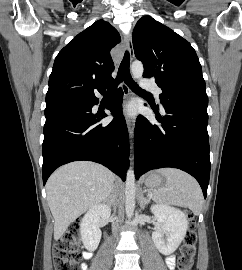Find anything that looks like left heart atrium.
Instances as JSON below:
<instances>
[{
  "mask_svg": "<svg viewBox=\"0 0 242 270\" xmlns=\"http://www.w3.org/2000/svg\"><path fill=\"white\" fill-rule=\"evenodd\" d=\"M136 108H135V105L134 104H130L127 108H126V112L128 114H134Z\"/></svg>",
  "mask_w": 242,
  "mask_h": 270,
  "instance_id": "1",
  "label": "left heart atrium"
}]
</instances>
